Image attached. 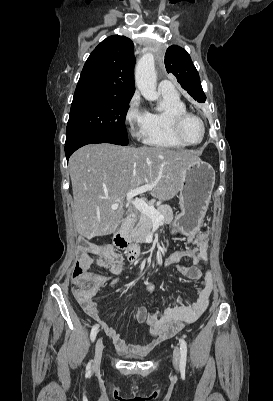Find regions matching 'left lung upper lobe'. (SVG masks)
Here are the masks:
<instances>
[{"mask_svg":"<svg viewBox=\"0 0 273 401\" xmlns=\"http://www.w3.org/2000/svg\"><path fill=\"white\" fill-rule=\"evenodd\" d=\"M165 66L167 72L176 76L182 88L195 101L205 102L206 96L201 86L199 74L189 54L183 48L176 45L170 46L165 54Z\"/></svg>","mask_w":273,"mask_h":401,"instance_id":"left-lung-upper-lobe-1","label":"left lung upper lobe"}]
</instances>
